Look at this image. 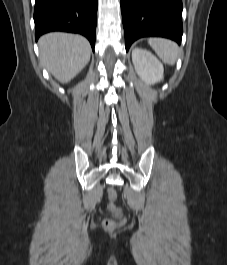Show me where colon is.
Here are the masks:
<instances>
[{
	"label": "colon",
	"mask_w": 227,
	"mask_h": 265,
	"mask_svg": "<svg viewBox=\"0 0 227 265\" xmlns=\"http://www.w3.org/2000/svg\"><path fill=\"white\" fill-rule=\"evenodd\" d=\"M116 198H117V191H116V189L113 188V187H110L108 189V209L112 213L118 214L121 217L118 220H114V219H111V218H107V219H105L103 221V223H102L103 228L106 231H108V232L115 231L117 228H119L124 223V218L121 215V211L115 205Z\"/></svg>",
	"instance_id": "1"
}]
</instances>
